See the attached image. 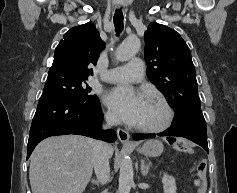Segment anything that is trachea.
<instances>
[{
  "label": "trachea",
  "instance_id": "1",
  "mask_svg": "<svg viewBox=\"0 0 237 193\" xmlns=\"http://www.w3.org/2000/svg\"><path fill=\"white\" fill-rule=\"evenodd\" d=\"M113 22L115 26V31L117 34L121 33L123 31V13L122 9H116L114 17H113Z\"/></svg>",
  "mask_w": 237,
  "mask_h": 193
}]
</instances>
